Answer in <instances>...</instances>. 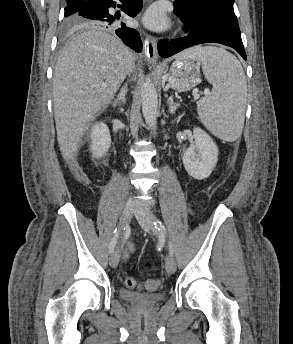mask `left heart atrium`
Instances as JSON below:
<instances>
[{
  "label": "left heart atrium",
  "instance_id": "1",
  "mask_svg": "<svg viewBox=\"0 0 293 344\" xmlns=\"http://www.w3.org/2000/svg\"><path fill=\"white\" fill-rule=\"evenodd\" d=\"M146 22L154 28L165 26L166 19L162 8L160 6L153 7L146 16Z\"/></svg>",
  "mask_w": 293,
  "mask_h": 344
}]
</instances>
